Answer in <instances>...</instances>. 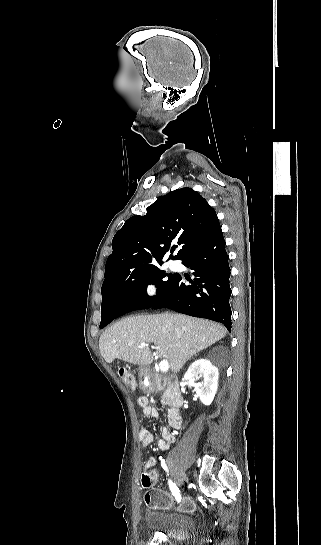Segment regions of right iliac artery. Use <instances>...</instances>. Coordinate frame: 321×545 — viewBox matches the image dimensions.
Here are the masks:
<instances>
[{
	"mask_svg": "<svg viewBox=\"0 0 321 545\" xmlns=\"http://www.w3.org/2000/svg\"><path fill=\"white\" fill-rule=\"evenodd\" d=\"M160 460H161V466L167 470V466L165 464V460L162 459V457H160ZM168 484H169V487H170V490L171 492L173 493V495L175 496V498L177 500H180L181 499V496H180V492H179V489L177 488V486L175 485V483H173L171 480L168 481Z\"/></svg>",
	"mask_w": 321,
	"mask_h": 545,
	"instance_id": "1",
	"label": "right iliac artery"
}]
</instances>
